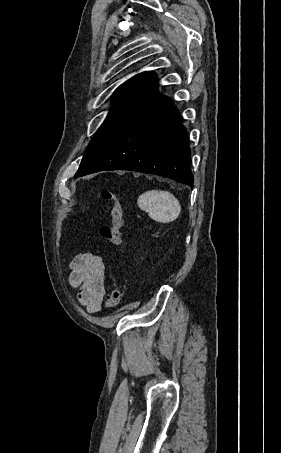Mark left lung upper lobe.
Instances as JSON below:
<instances>
[{"label":"left lung upper lobe","instance_id":"1","mask_svg":"<svg viewBox=\"0 0 281 453\" xmlns=\"http://www.w3.org/2000/svg\"><path fill=\"white\" fill-rule=\"evenodd\" d=\"M155 81L156 75L154 73L143 72L135 75L116 89L113 94L112 108L91 140L79 169L84 168L96 156L112 134L144 98Z\"/></svg>","mask_w":281,"mask_h":453}]
</instances>
